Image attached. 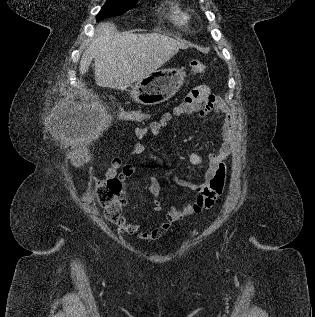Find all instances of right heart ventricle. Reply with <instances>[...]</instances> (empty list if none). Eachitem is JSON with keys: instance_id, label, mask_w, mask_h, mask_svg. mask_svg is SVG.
<instances>
[{"instance_id": "obj_1", "label": "right heart ventricle", "mask_w": 315, "mask_h": 317, "mask_svg": "<svg viewBox=\"0 0 315 317\" xmlns=\"http://www.w3.org/2000/svg\"><path fill=\"white\" fill-rule=\"evenodd\" d=\"M169 18L177 26H187L191 21L190 14L178 3L171 4Z\"/></svg>"}]
</instances>
